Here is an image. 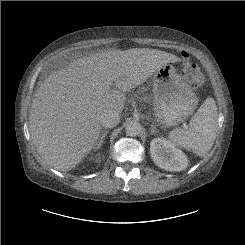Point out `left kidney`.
<instances>
[{"mask_svg": "<svg viewBox=\"0 0 245 245\" xmlns=\"http://www.w3.org/2000/svg\"><path fill=\"white\" fill-rule=\"evenodd\" d=\"M150 153L155 164L168 171H182L188 165L186 155L164 138H154L151 141Z\"/></svg>", "mask_w": 245, "mask_h": 245, "instance_id": "5707ae66", "label": "left kidney"}]
</instances>
